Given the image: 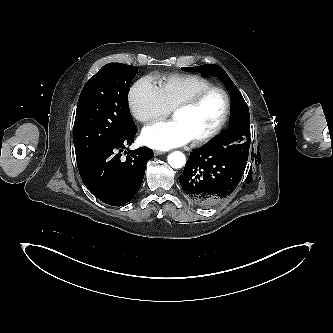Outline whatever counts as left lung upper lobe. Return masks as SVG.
Wrapping results in <instances>:
<instances>
[{
	"label": "left lung upper lobe",
	"instance_id": "obj_1",
	"mask_svg": "<svg viewBox=\"0 0 333 333\" xmlns=\"http://www.w3.org/2000/svg\"><path fill=\"white\" fill-rule=\"evenodd\" d=\"M186 72H201L218 77L226 86L231 98V126L229 131L223 132L208 146L222 153L231 155L238 160L247 163L250 138H249V110L240 91L229 78L227 73L217 65L207 64L197 67H182Z\"/></svg>",
	"mask_w": 333,
	"mask_h": 333
}]
</instances>
